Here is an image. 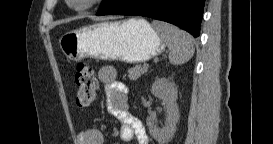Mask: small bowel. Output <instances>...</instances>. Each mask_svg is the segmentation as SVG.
Segmentation results:
<instances>
[{
	"instance_id": "obj_1",
	"label": "small bowel",
	"mask_w": 273,
	"mask_h": 144,
	"mask_svg": "<svg viewBox=\"0 0 273 144\" xmlns=\"http://www.w3.org/2000/svg\"><path fill=\"white\" fill-rule=\"evenodd\" d=\"M99 79L106 85L108 111L121 123L119 137L123 142L136 139L138 144H148L149 137L141 121L129 110V96L123 83L117 81L116 70L104 66L99 70ZM77 144H103L104 134L97 128H89L77 134Z\"/></svg>"
}]
</instances>
